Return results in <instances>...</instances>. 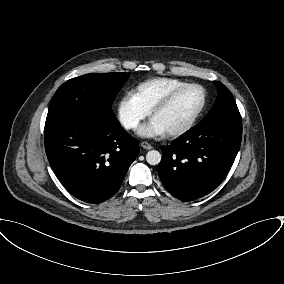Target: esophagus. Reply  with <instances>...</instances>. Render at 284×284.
<instances>
[{
	"label": "esophagus",
	"instance_id": "esophagus-1",
	"mask_svg": "<svg viewBox=\"0 0 284 284\" xmlns=\"http://www.w3.org/2000/svg\"><path fill=\"white\" fill-rule=\"evenodd\" d=\"M140 146L142 147V148H144V149H147V150H149V149H152V145L151 144H149L148 142H142L141 144H140Z\"/></svg>",
	"mask_w": 284,
	"mask_h": 284
}]
</instances>
